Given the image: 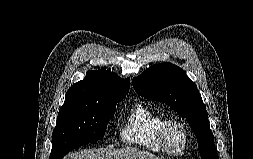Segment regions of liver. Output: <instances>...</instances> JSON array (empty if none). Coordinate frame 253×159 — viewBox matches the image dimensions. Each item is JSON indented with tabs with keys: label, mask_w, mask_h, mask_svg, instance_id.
<instances>
[{
	"label": "liver",
	"mask_w": 253,
	"mask_h": 159,
	"mask_svg": "<svg viewBox=\"0 0 253 159\" xmlns=\"http://www.w3.org/2000/svg\"><path fill=\"white\" fill-rule=\"evenodd\" d=\"M64 159H159L157 156L138 150L136 148L126 147L122 149H98L82 150L80 152L70 153Z\"/></svg>",
	"instance_id": "obj_1"
}]
</instances>
